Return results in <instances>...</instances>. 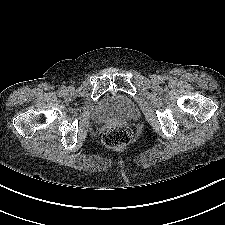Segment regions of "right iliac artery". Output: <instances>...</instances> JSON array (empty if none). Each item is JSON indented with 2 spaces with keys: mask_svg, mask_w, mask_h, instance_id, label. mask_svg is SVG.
<instances>
[{
  "mask_svg": "<svg viewBox=\"0 0 225 225\" xmlns=\"http://www.w3.org/2000/svg\"><path fill=\"white\" fill-rule=\"evenodd\" d=\"M63 89H64V88L62 87V88H61V91H63Z\"/></svg>",
  "mask_w": 225,
  "mask_h": 225,
  "instance_id": "1",
  "label": "right iliac artery"
}]
</instances>
